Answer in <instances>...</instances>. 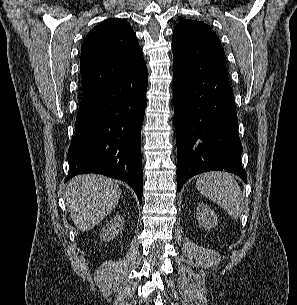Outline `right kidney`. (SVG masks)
<instances>
[{
	"label": "right kidney",
	"mask_w": 297,
	"mask_h": 305,
	"mask_svg": "<svg viewBox=\"0 0 297 305\" xmlns=\"http://www.w3.org/2000/svg\"><path fill=\"white\" fill-rule=\"evenodd\" d=\"M124 225V218L120 215L115 216L106 227L102 230L100 239L103 241H110L115 238Z\"/></svg>",
	"instance_id": "obj_1"
}]
</instances>
